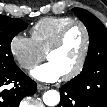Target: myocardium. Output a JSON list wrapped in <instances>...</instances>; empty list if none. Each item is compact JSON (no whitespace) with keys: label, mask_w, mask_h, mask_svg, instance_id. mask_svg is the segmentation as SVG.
<instances>
[{"label":"myocardium","mask_w":107,"mask_h":107,"mask_svg":"<svg viewBox=\"0 0 107 107\" xmlns=\"http://www.w3.org/2000/svg\"><path fill=\"white\" fill-rule=\"evenodd\" d=\"M75 27L81 28L84 33V46L80 58L78 60V63L76 64L74 69L71 70L69 73L63 75V79L66 81L72 80L76 78L78 75H80L86 65L91 47V35L86 24H84L81 21L75 20L70 24L66 25L57 36L54 43L50 46V48L46 52V56L48 57L50 53L60 49L63 46L68 33Z\"/></svg>","instance_id":"f54148a6"}]
</instances>
